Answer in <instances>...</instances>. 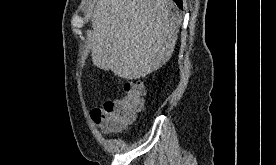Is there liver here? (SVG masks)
<instances>
[{
    "mask_svg": "<svg viewBox=\"0 0 276 165\" xmlns=\"http://www.w3.org/2000/svg\"><path fill=\"white\" fill-rule=\"evenodd\" d=\"M175 10L171 0H98L87 35L93 64L129 80L158 70L178 38Z\"/></svg>",
    "mask_w": 276,
    "mask_h": 165,
    "instance_id": "obj_1",
    "label": "liver"
}]
</instances>
